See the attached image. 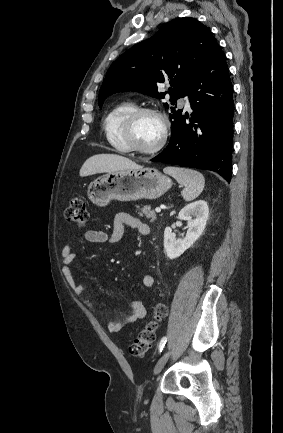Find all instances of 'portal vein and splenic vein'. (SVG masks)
<instances>
[{
    "label": "portal vein and splenic vein",
    "mask_w": 283,
    "mask_h": 433,
    "mask_svg": "<svg viewBox=\"0 0 283 433\" xmlns=\"http://www.w3.org/2000/svg\"><path fill=\"white\" fill-rule=\"evenodd\" d=\"M156 212H161V208H159V206H157V208H155Z\"/></svg>",
    "instance_id": "18ae733b"
}]
</instances>
